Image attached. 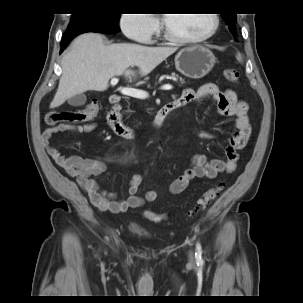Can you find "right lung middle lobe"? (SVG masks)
Listing matches in <instances>:
<instances>
[{
    "label": "right lung middle lobe",
    "mask_w": 303,
    "mask_h": 303,
    "mask_svg": "<svg viewBox=\"0 0 303 303\" xmlns=\"http://www.w3.org/2000/svg\"><path fill=\"white\" fill-rule=\"evenodd\" d=\"M119 13H95L85 12L80 14H72V19L67 27V31L81 27L87 24H111L118 26Z\"/></svg>",
    "instance_id": "1"
}]
</instances>
